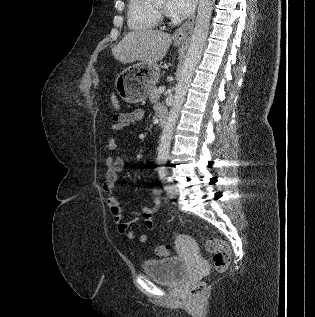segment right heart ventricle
Segmentation results:
<instances>
[{
  "mask_svg": "<svg viewBox=\"0 0 315 317\" xmlns=\"http://www.w3.org/2000/svg\"><path fill=\"white\" fill-rule=\"evenodd\" d=\"M160 18L150 0H128L127 23L133 30H150L158 26Z\"/></svg>",
  "mask_w": 315,
  "mask_h": 317,
  "instance_id": "obj_1",
  "label": "right heart ventricle"
}]
</instances>
